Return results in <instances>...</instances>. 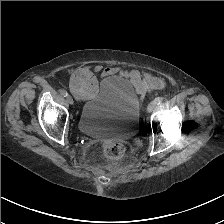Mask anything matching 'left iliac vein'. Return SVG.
Instances as JSON below:
<instances>
[{
  "mask_svg": "<svg viewBox=\"0 0 224 224\" xmlns=\"http://www.w3.org/2000/svg\"><path fill=\"white\" fill-rule=\"evenodd\" d=\"M155 106H156V103L154 101L150 102L148 107H147V111L149 113H151L154 110Z\"/></svg>",
  "mask_w": 224,
  "mask_h": 224,
  "instance_id": "left-iliac-vein-1",
  "label": "left iliac vein"
}]
</instances>
